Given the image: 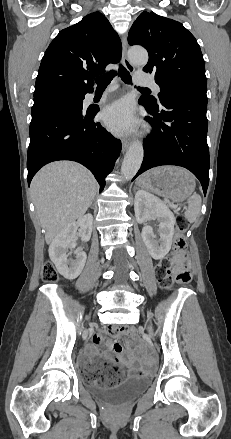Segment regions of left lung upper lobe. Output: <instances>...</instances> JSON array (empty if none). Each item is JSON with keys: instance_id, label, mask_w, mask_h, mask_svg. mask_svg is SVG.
I'll list each match as a JSON object with an SVG mask.
<instances>
[{"instance_id": "obj_1", "label": "left lung upper lobe", "mask_w": 231, "mask_h": 439, "mask_svg": "<svg viewBox=\"0 0 231 439\" xmlns=\"http://www.w3.org/2000/svg\"><path fill=\"white\" fill-rule=\"evenodd\" d=\"M130 45H142L149 53L145 72L155 75L160 86L158 97L168 92L190 90L206 93L205 62L195 37L179 22L155 14L142 12L133 23ZM155 104L152 96H142Z\"/></svg>"}]
</instances>
